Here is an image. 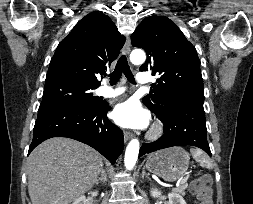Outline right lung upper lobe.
Returning a JSON list of instances; mask_svg holds the SVG:
<instances>
[{"instance_id": "right-lung-upper-lobe-1", "label": "right lung upper lobe", "mask_w": 253, "mask_h": 204, "mask_svg": "<svg viewBox=\"0 0 253 204\" xmlns=\"http://www.w3.org/2000/svg\"><path fill=\"white\" fill-rule=\"evenodd\" d=\"M124 43L125 37L107 15L89 13L59 43L45 83L67 81L99 87V74H105Z\"/></svg>"}]
</instances>
